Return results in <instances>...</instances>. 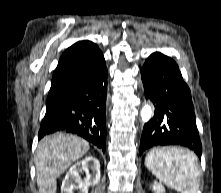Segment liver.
<instances>
[{
	"mask_svg": "<svg viewBox=\"0 0 221 193\" xmlns=\"http://www.w3.org/2000/svg\"><path fill=\"white\" fill-rule=\"evenodd\" d=\"M89 148L87 141L70 134L55 133L42 138L35 156L39 193H56L57 178Z\"/></svg>",
	"mask_w": 221,
	"mask_h": 193,
	"instance_id": "obj_1",
	"label": "liver"
}]
</instances>
